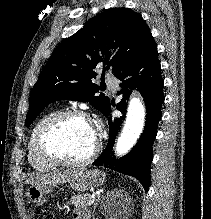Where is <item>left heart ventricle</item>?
Instances as JSON below:
<instances>
[{"label":"left heart ventricle","mask_w":211,"mask_h":219,"mask_svg":"<svg viewBox=\"0 0 211 219\" xmlns=\"http://www.w3.org/2000/svg\"><path fill=\"white\" fill-rule=\"evenodd\" d=\"M97 140L88 121L69 118L62 121L51 134V145L56 153L72 160L87 157Z\"/></svg>","instance_id":"b2bd125f"}]
</instances>
